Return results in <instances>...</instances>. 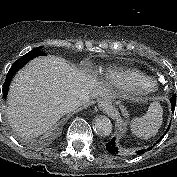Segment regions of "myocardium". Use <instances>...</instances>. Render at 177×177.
Masks as SVG:
<instances>
[{"instance_id":"myocardium-1","label":"myocardium","mask_w":177,"mask_h":177,"mask_svg":"<svg viewBox=\"0 0 177 177\" xmlns=\"http://www.w3.org/2000/svg\"><path fill=\"white\" fill-rule=\"evenodd\" d=\"M128 82L136 87L141 93H151L156 89V83L151 79L130 76Z\"/></svg>"}]
</instances>
